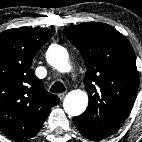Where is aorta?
I'll return each mask as SVG.
<instances>
[{"instance_id": "762f6f07", "label": "aorta", "mask_w": 142, "mask_h": 142, "mask_svg": "<svg viewBox=\"0 0 142 142\" xmlns=\"http://www.w3.org/2000/svg\"><path fill=\"white\" fill-rule=\"evenodd\" d=\"M47 62L59 72L71 69L67 50L60 45H52L46 52ZM88 106V95L82 90L69 92L63 102L64 110L71 116H79Z\"/></svg>"}]
</instances>
